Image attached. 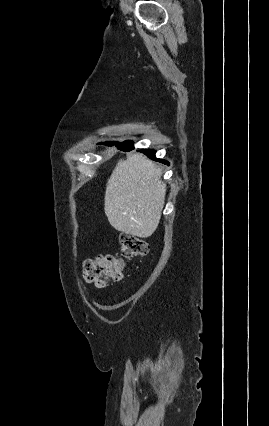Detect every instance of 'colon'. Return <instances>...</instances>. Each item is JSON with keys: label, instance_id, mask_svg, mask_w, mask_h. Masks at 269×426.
Masks as SVG:
<instances>
[{"label": "colon", "instance_id": "1", "mask_svg": "<svg viewBox=\"0 0 269 426\" xmlns=\"http://www.w3.org/2000/svg\"><path fill=\"white\" fill-rule=\"evenodd\" d=\"M122 256L100 255L87 259L83 265V279L96 286H106L111 281H121L126 271V263L146 255L148 244L141 237L121 233Z\"/></svg>", "mask_w": 269, "mask_h": 426}]
</instances>
